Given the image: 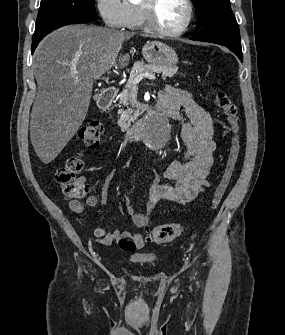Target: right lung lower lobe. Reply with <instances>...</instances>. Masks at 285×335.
Wrapping results in <instances>:
<instances>
[{"instance_id":"right-lung-lower-lobe-1","label":"right lung lower lobe","mask_w":285,"mask_h":335,"mask_svg":"<svg viewBox=\"0 0 285 335\" xmlns=\"http://www.w3.org/2000/svg\"><path fill=\"white\" fill-rule=\"evenodd\" d=\"M89 21L91 20L85 17L64 16V17L53 19L43 25L36 26L35 32L33 34V39H32V49H31L32 54L34 50L36 49L38 43L51 31L58 29L65 25H69L73 23H87Z\"/></svg>"}]
</instances>
